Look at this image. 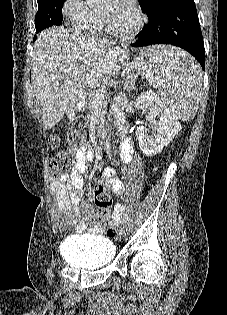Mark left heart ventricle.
Listing matches in <instances>:
<instances>
[{"mask_svg": "<svg viewBox=\"0 0 227 315\" xmlns=\"http://www.w3.org/2000/svg\"><path fill=\"white\" fill-rule=\"evenodd\" d=\"M102 12L119 32H130L136 25L137 18L130 5H117L115 0H107Z\"/></svg>", "mask_w": 227, "mask_h": 315, "instance_id": "obj_1", "label": "left heart ventricle"}]
</instances>
